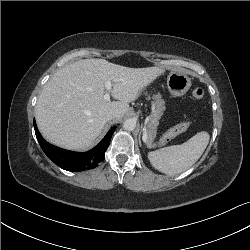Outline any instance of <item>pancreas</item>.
Instances as JSON below:
<instances>
[{"instance_id": "1", "label": "pancreas", "mask_w": 250, "mask_h": 250, "mask_svg": "<svg viewBox=\"0 0 250 250\" xmlns=\"http://www.w3.org/2000/svg\"><path fill=\"white\" fill-rule=\"evenodd\" d=\"M152 105V113L150 115V121L148 123V145H152L154 138L157 133V125L159 124V119L163 115L165 110V102L162 99L160 94H156L153 97ZM173 130V129H172ZM175 136V134L171 131H168L164 137L161 139V142H165L167 138L171 139Z\"/></svg>"}]
</instances>
